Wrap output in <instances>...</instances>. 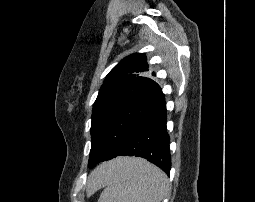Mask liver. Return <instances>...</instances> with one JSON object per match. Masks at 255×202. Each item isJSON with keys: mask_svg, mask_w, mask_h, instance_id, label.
I'll use <instances>...</instances> for the list:
<instances>
[{"mask_svg": "<svg viewBox=\"0 0 255 202\" xmlns=\"http://www.w3.org/2000/svg\"><path fill=\"white\" fill-rule=\"evenodd\" d=\"M106 165H107V164L101 165L98 169H96V170L91 174V177H90V180H89V181H90V183H91L92 186H93V182H94V180H95V177H96L97 172H98L100 169L104 168Z\"/></svg>", "mask_w": 255, "mask_h": 202, "instance_id": "6515ba94", "label": "liver"}]
</instances>
